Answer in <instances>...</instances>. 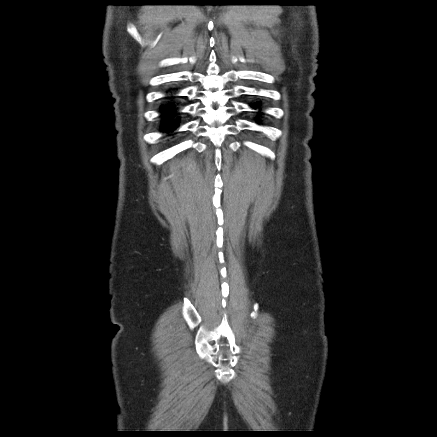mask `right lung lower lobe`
<instances>
[{"mask_svg": "<svg viewBox=\"0 0 437 437\" xmlns=\"http://www.w3.org/2000/svg\"><path fill=\"white\" fill-rule=\"evenodd\" d=\"M173 97H167V99H172ZM160 113L162 117V128L164 132L174 131L179 127L180 117L177 112L176 105L174 102L168 101L160 106Z\"/></svg>", "mask_w": 437, "mask_h": 437, "instance_id": "1", "label": "right lung lower lobe"}]
</instances>
